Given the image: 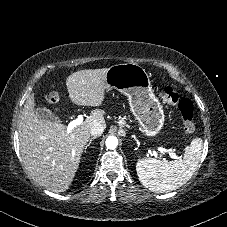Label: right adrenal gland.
Masks as SVG:
<instances>
[{"label": "right adrenal gland", "mask_w": 227, "mask_h": 227, "mask_svg": "<svg viewBox=\"0 0 227 227\" xmlns=\"http://www.w3.org/2000/svg\"><path fill=\"white\" fill-rule=\"evenodd\" d=\"M96 137H92L90 140H89V143L85 146V150L90 146V144L92 143V141L95 139Z\"/></svg>", "instance_id": "right-adrenal-gland-1"}]
</instances>
